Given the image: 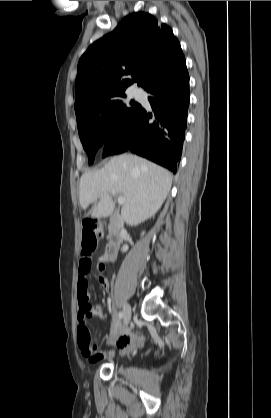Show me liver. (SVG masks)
<instances>
[{
    "label": "liver",
    "mask_w": 271,
    "mask_h": 418,
    "mask_svg": "<svg viewBox=\"0 0 271 418\" xmlns=\"http://www.w3.org/2000/svg\"><path fill=\"white\" fill-rule=\"evenodd\" d=\"M171 185L172 175L165 168L132 154H121L100 170L81 176L79 201L86 210L99 199L91 215L102 218L114 211L112 196L121 195L126 200L121 218L127 225L136 226L158 212Z\"/></svg>",
    "instance_id": "6515ba94"
}]
</instances>
